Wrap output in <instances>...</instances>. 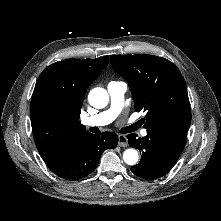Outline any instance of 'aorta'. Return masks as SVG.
Wrapping results in <instances>:
<instances>
[{
    "instance_id": "762f6f07",
    "label": "aorta",
    "mask_w": 221,
    "mask_h": 221,
    "mask_svg": "<svg viewBox=\"0 0 221 221\" xmlns=\"http://www.w3.org/2000/svg\"><path fill=\"white\" fill-rule=\"evenodd\" d=\"M88 101L95 108H104L108 104L109 95L105 89L97 87L89 92ZM138 157V152L132 148L123 153V160L128 165L136 164Z\"/></svg>"
}]
</instances>
